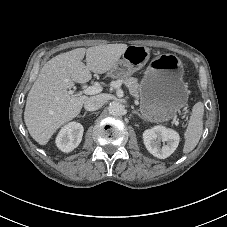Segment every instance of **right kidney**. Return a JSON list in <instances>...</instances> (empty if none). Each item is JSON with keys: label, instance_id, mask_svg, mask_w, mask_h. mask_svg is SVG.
<instances>
[{"label": "right kidney", "instance_id": "right-kidney-1", "mask_svg": "<svg viewBox=\"0 0 227 227\" xmlns=\"http://www.w3.org/2000/svg\"><path fill=\"white\" fill-rule=\"evenodd\" d=\"M84 128L78 122H70L58 133L56 137V146L63 152H70L76 148L83 136Z\"/></svg>", "mask_w": 227, "mask_h": 227}]
</instances>
